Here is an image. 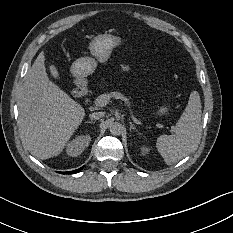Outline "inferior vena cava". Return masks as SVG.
I'll use <instances>...</instances> for the list:
<instances>
[{"label":"inferior vena cava","mask_w":233,"mask_h":233,"mask_svg":"<svg viewBox=\"0 0 233 233\" xmlns=\"http://www.w3.org/2000/svg\"><path fill=\"white\" fill-rule=\"evenodd\" d=\"M104 115H105L104 112L99 111V112H93V113H91L89 117L92 120H98V119L102 118Z\"/></svg>","instance_id":"obj_1"}]
</instances>
